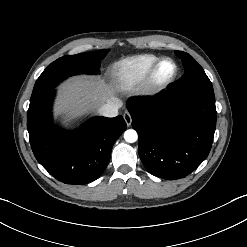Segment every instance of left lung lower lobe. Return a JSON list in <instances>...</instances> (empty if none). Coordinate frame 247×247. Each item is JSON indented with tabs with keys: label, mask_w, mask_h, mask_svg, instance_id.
Returning <instances> with one entry per match:
<instances>
[{
	"label": "left lung lower lobe",
	"mask_w": 247,
	"mask_h": 247,
	"mask_svg": "<svg viewBox=\"0 0 247 247\" xmlns=\"http://www.w3.org/2000/svg\"><path fill=\"white\" fill-rule=\"evenodd\" d=\"M139 157L154 176L175 180L193 172L208 156L216 128L213 90L174 91L155 99L129 100Z\"/></svg>",
	"instance_id": "obj_1"
}]
</instances>
